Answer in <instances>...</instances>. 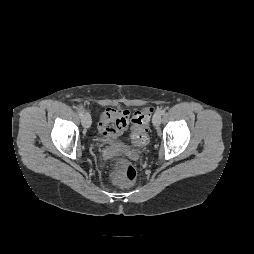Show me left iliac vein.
<instances>
[{"label": "left iliac vein", "mask_w": 254, "mask_h": 254, "mask_svg": "<svg viewBox=\"0 0 254 254\" xmlns=\"http://www.w3.org/2000/svg\"><path fill=\"white\" fill-rule=\"evenodd\" d=\"M152 122L155 127H158L160 125V123H161V113L160 112H156L154 114Z\"/></svg>", "instance_id": "obj_1"}]
</instances>
